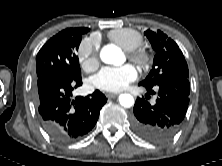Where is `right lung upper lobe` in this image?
<instances>
[{
	"instance_id": "obj_1",
	"label": "right lung upper lobe",
	"mask_w": 222,
	"mask_h": 166,
	"mask_svg": "<svg viewBox=\"0 0 222 166\" xmlns=\"http://www.w3.org/2000/svg\"><path fill=\"white\" fill-rule=\"evenodd\" d=\"M83 29H84V30H86V31H89V29H88V28H84V27H83Z\"/></svg>"
}]
</instances>
